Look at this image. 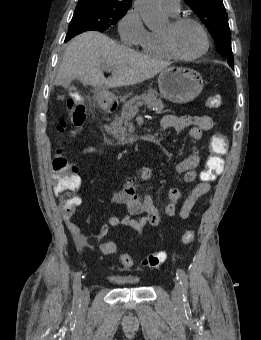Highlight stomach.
Returning a JSON list of instances; mask_svg holds the SVG:
<instances>
[{"instance_id": "0dacf381", "label": "stomach", "mask_w": 261, "mask_h": 340, "mask_svg": "<svg viewBox=\"0 0 261 340\" xmlns=\"http://www.w3.org/2000/svg\"><path fill=\"white\" fill-rule=\"evenodd\" d=\"M158 87L163 98L183 104L193 101L202 92L204 82L201 74L193 69L169 67L160 72ZM101 98L108 103L114 95L103 91Z\"/></svg>"}]
</instances>
